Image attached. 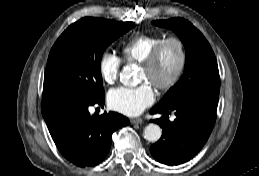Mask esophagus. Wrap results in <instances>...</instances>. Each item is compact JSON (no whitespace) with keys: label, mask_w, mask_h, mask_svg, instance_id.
I'll return each instance as SVG.
<instances>
[{"label":"esophagus","mask_w":259,"mask_h":176,"mask_svg":"<svg viewBox=\"0 0 259 176\" xmlns=\"http://www.w3.org/2000/svg\"><path fill=\"white\" fill-rule=\"evenodd\" d=\"M130 122H131L132 124H142V123H143V120H142L141 118H132V119L130 120Z\"/></svg>","instance_id":"34e87169"}]
</instances>
